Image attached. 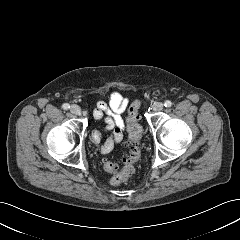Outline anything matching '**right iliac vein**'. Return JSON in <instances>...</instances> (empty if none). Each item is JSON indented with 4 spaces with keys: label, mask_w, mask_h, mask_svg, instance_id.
Here are the masks:
<instances>
[{
    "label": "right iliac vein",
    "mask_w": 240,
    "mask_h": 240,
    "mask_svg": "<svg viewBox=\"0 0 240 240\" xmlns=\"http://www.w3.org/2000/svg\"><path fill=\"white\" fill-rule=\"evenodd\" d=\"M70 111L74 114V115H81V108L78 105H72L70 108Z\"/></svg>",
    "instance_id": "63e3f726"
}]
</instances>
